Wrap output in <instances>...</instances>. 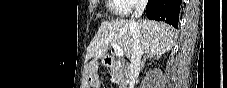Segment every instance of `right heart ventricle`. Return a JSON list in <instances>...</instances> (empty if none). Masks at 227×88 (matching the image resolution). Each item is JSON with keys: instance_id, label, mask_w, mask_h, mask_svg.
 Wrapping results in <instances>:
<instances>
[{"instance_id": "1", "label": "right heart ventricle", "mask_w": 227, "mask_h": 88, "mask_svg": "<svg viewBox=\"0 0 227 88\" xmlns=\"http://www.w3.org/2000/svg\"><path fill=\"white\" fill-rule=\"evenodd\" d=\"M109 8L117 15L125 13V5L122 0H109Z\"/></svg>"}]
</instances>
